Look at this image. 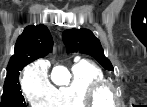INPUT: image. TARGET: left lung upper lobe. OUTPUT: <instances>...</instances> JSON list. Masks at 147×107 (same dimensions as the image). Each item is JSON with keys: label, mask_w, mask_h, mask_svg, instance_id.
<instances>
[{"label": "left lung upper lobe", "mask_w": 147, "mask_h": 107, "mask_svg": "<svg viewBox=\"0 0 147 107\" xmlns=\"http://www.w3.org/2000/svg\"><path fill=\"white\" fill-rule=\"evenodd\" d=\"M63 42L68 52H81L95 58L106 70L113 66L105 57L99 39L88 29H67L63 32Z\"/></svg>", "instance_id": "left-lung-upper-lobe-1"}]
</instances>
